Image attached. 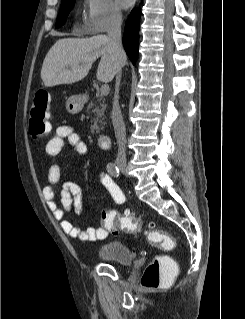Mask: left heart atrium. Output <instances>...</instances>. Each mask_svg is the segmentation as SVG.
I'll list each match as a JSON object with an SVG mask.
<instances>
[{"instance_id":"1","label":"left heart atrium","mask_w":245,"mask_h":319,"mask_svg":"<svg viewBox=\"0 0 245 319\" xmlns=\"http://www.w3.org/2000/svg\"><path fill=\"white\" fill-rule=\"evenodd\" d=\"M133 1L134 0H117L118 4L124 9L129 8L132 5Z\"/></svg>"}]
</instances>
